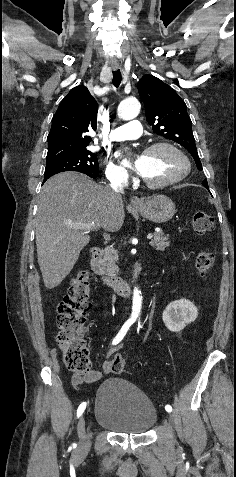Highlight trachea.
<instances>
[{
	"instance_id": "obj_1",
	"label": "trachea",
	"mask_w": 236,
	"mask_h": 477,
	"mask_svg": "<svg viewBox=\"0 0 236 477\" xmlns=\"http://www.w3.org/2000/svg\"><path fill=\"white\" fill-rule=\"evenodd\" d=\"M121 83V72L120 70L113 71V84L115 87H118Z\"/></svg>"
}]
</instances>
